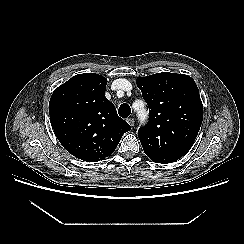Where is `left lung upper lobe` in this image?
<instances>
[{"instance_id": "1", "label": "left lung upper lobe", "mask_w": 244, "mask_h": 244, "mask_svg": "<svg viewBox=\"0 0 244 244\" xmlns=\"http://www.w3.org/2000/svg\"><path fill=\"white\" fill-rule=\"evenodd\" d=\"M136 84L149 107V121L138 130L145 154L156 163H172L194 143L203 120L195 81L170 72L138 77Z\"/></svg>"}]
</instances>
